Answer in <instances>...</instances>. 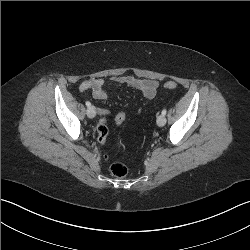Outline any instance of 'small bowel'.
Returning a JSON list of instances; mask_svg holds the SVG:
<instances>
[{
	"label": "small bowel",
	"instance_id": "1",
	"mask_svg": "<svg viewBox=\"0 0 250 250\" xmlns=\"http://www.w3.org/2000/svg\"><path fill=\"white\" fill-rule=\"evenodd\" d=\"M128 87L140 91L147 99H153L156 95L158 82L152 79H140L133 76H114L108 81L102 78H93L83 81L79 90L85 92L90 90L92 96L97 100H106L110 88ZM100 115H105L104 109L99 110ZM99 140V139H98Z\"/></svg>",
	"mask_w": 250,
	"mask_h": 250
}]
</instances>
